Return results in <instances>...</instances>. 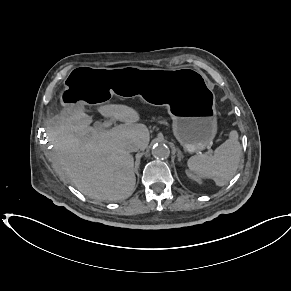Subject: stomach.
Listing matches in <instances>:
<instances>
[{
  "instance_id": "0dacf381",
  "label": "stomach",
  "mask_w": 291,
  "mask_h": 291,
  "mask_svg": "<svg viewBox=\"0 0 291 291\" xmlns=\"http://www.w3.org/2000/svg\"><path fill=\"white\" fill-rule=\"evenodd\" d=\"M110 95H138L165 104L174 119L173 134L185 151H201L217 133L215 95L205 75L192 68L157 69L127 66L99 69L83 65L66 79L60 96L65 107L100 103Z\"/></svg>"
}]
</instances>
